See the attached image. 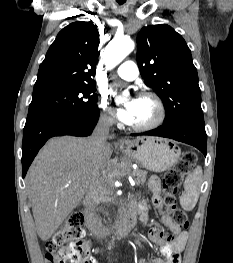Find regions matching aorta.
<instances>
[{
    "instance_id": "762f6f07",
    "label": "aorta",
    "mask_w": 233,
    "mask_h": 263,
    "mask_svg": "<svg viewBox=\"0 0 233 263\" xmlns=\"http://www.w3.org/2000/svg\"><path fill=\"white\" fill-rule=\"evenodd\" d=\"M134 49V42L129 37H115L107 45L104 52V62L107 69L118 65ZM127 94L126 92L124 95Z\"/></svg>"
}]
</instances>
